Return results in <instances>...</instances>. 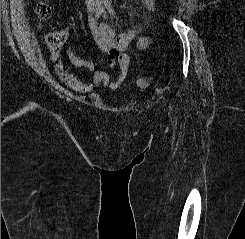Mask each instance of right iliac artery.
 Segmentation results:
<instances>
[{"label": "right iliac artery", "mask_w": 245, "mask_h": 239, "mask_svg": "<svg viewBox=\"0 0 245 239\" xmlns=\"http://www.w3.org/2000/svg\"><path fill=\"white\" fill-rule=\"evenodd\" d=\"M100 15H101V12H98V11H97L96 14H95V19H96V18H99Z\"/></svg>", "instance_id": "82829eb1"}]
</instances>
